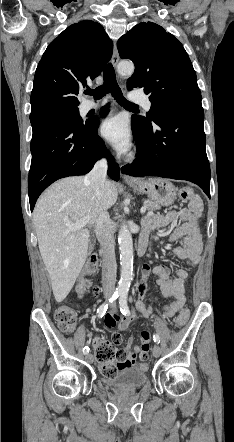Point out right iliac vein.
I'll list each match as a JSON object with an SVG mask.
<instances>
[{"instance_id":"right-iliac-vein-1","label":"right iliac vein","mask_w":234,"mask_h":442,"mask_svg":"<svg viewBox=\"0 0 234 442\" xmlns=\"http://www.w3.org/2000/svg\"><path fill=\"white\" fill-rule=\"evenodd\" d=\"M86 360L90 363L93 362V355L91 353L86 354Z\"/></svg>"}]
</instances>
